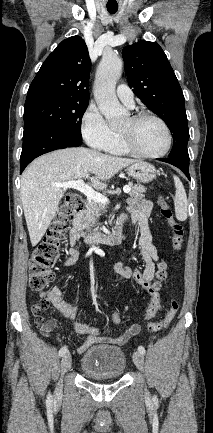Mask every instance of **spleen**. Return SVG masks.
Here are the masks:
<instances>
[{"instance_id": "obj_1", "label": "spleen", "mask_w": 213, "mask_h": 433, "mask_svg": "<svg viewBox=\"0 0 213 433\" xmlns=\"http://www.w3.org/2000/svg\"><path fill=\"white\" fill-rule=\"evenodd\" d=\"M175 191V215L179 221L187 219V195L185 188L177 176H174Z\"/></svg>"}]
</instances>
